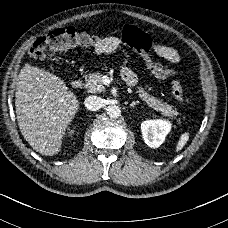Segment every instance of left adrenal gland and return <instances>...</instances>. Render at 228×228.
<instances>
[{
    "label": "left adrenal gland",
    "instance_id": "left-adrenal-gland-1",
    "mask_svg": "<svg viewBox=\"0 0 228 228\" xmlns=\"http://www.w3.org/2000/svg\"><path fill=\"white\" fill-rule=\"evenodd\" d=\"M139 103H140L139 101H136V102L130 103L129 105H130V107H134V106H136Z\"/></svg>",
    "mask_w": 228,
    "mask_h": 228
}]
</instances>
